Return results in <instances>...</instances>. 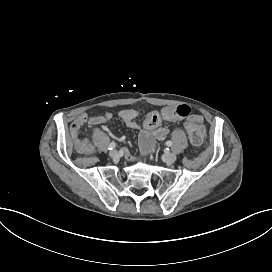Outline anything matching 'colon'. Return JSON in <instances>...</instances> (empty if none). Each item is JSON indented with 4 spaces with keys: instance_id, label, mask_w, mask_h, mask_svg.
<instances>
[{
    "instance_id": "colon-1",
    "label": "colon",
    "mask_w": 272,
    "mask_h": 272,
    "mask_svg": "<svg viewBox=\"0 0 272 272\" xmlns=\"http://www.w3.org/2000/svg\"><path fill=\"white\" fill-rule=\"evenodd\" d=\"M171 112L180 118H186L189 115L190 109L187 105H178L170 108ZM152 121V119H149ZM80 122H76L73 124L71 132L72 134H76L79 129ZM186 129L189 134L190 140L193 145L198 146L202 143L203 135H204V128L200 118L198 117H191L186 122ZM87 141L81 140V147H86Z\"/></svg>"
}]
</instances>
